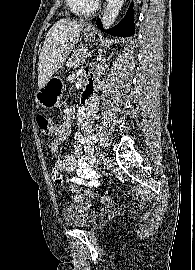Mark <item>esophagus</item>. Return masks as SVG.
Masks as SVG:
<instances>
[{"mask_svg":"<svg viewBox=\"0 0 195 270\" xmlns=\"http://www.w3.org/2000/svg\"><path fill=\"white\" fill-rule=\"evenodd\" d=\"M88 28H94L92 25H89Z\"/></svg>","mask_w":195,"mask_h":270,"instance_id":"obj_1","label":"esophagus"}]
</instances>
